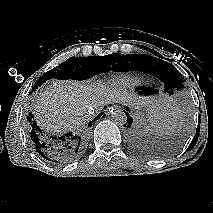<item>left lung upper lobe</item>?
<instances>
[{
    "label": "left lung upper lobe",
    "instance_id": "left-lung-upper-lobe-1",
    "mask_svg": "<svg viewBox=\"0 0 213 213\" xmlns=\"http://www.w3.org/2000/svg\"><path fill=\"white\" fill-rule=\"evenodd\" d=\"M133 69L148 73L161 81H167L173 87L172 90L183 87V77L179 71L171 64L162 59L146 54H134L130 61Z\"/></svg>",
    "mask_w": 213,
    "mask_h": 213
}]
</instances>
